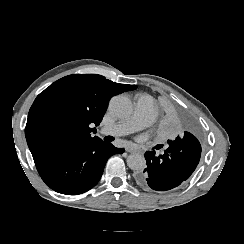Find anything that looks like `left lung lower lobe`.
Returning <instances> with one entry per match:
<instances>
[{"mask_svg":"<svg viewBox=\"0 0 244 244\" xmlns=\"http://www.w3.org/2000/svg\"><path fill=\"white\" fill-rule=\"evenodd\" d=\"M186 131L174 140H168L163 155L155 151L145 153L147 167L136 174V181L143 187L166 191L187 180L197 167L201 156V145L192 123L185 125Z\"/></svg>","mask_w":244,"mask_h":244,"instance_id":"0a47b994","label":"left lung lower lobe"}]
</instances>
